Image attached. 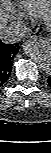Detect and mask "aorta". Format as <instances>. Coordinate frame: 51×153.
I'll return each mask as SVG.
<instances>
[{"instance_id":"762f6f07","label":"aorta","mask_w":51,"mask_h":153,"mask_svg":"<svg viewBox=\"0 0 51 153\" xmlns=\"http://www.w3.org/2000/svg\"><path fill=\"white\" fill-rule=\"evenodd\" d=\"M26 52L39 64L46 72L51 71V51L43 43L29 41L25 44Z\"/></svg>"}]
</instances>
